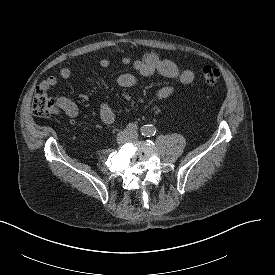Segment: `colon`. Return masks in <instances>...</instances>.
I'll return each instance as SVG.
<instances>
[{"label": "colon", "mask_w": 275, "mask_h": 275, "mask_svg": "<svg viewBox=\"0 0 275 275\" xmlns=\"http://www.w3.org/2000/svg\"><path fill=\"white\" fill-rule=\"evenodd\" d=\"M203 82L210 88L219 84L220 72L216 68L206 66L201 71ZM56 108L54 98L42 86H37L32 99V109L36 116L49 118Z\"/></svg>", "instance_id": "1"}]
</instances>
